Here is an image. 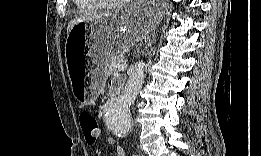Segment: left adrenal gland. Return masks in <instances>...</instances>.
Segmentation results:
<instances>
[{
	"mask_svg": "<svg viewBox=\"0 0 261 156\" xmlns=\"http://www.w3.org/2000/svg\"><path fill=\"white\" fill-rule=\"evenodd\" d=\"M148 46H151V42L148 43Z\"/></svg>",
	"mask_w": 261,
	"mask_h": 156,
	"instance_id": "obj_1",
	"label": "left adrenal gland"
}]
</instances>
